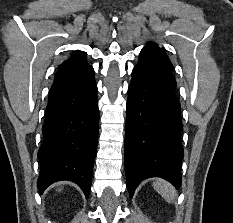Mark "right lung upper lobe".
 <instances>
[{"instance_id": "1", "label": "right lung upper lobe", "mask_w": 233, "mask_h": 223, "mask_svg": "<svg viewBox=\"0 0 233 223\" xmlns=\"http://www.w3.org/2000/svg\"><path fill=\"white\" fill-rule=\"evenodd\" d=\"M86 55L84 52L77 50L76 53L70 57L69 59H67L66 61H64L60 66L59 69H64V68H68L71 66H76V65H81L86 63Z\"/></svg>"}]
</instances>
